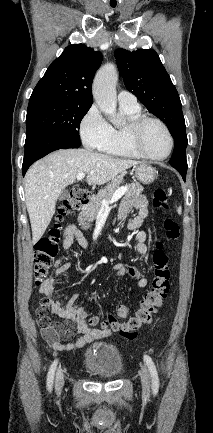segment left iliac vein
<instances>
[{
    "label": "left iliac vein",
    "instance_id": "left-iliac-vein-1",
    "mask_svg": "<svg viewBox=\"0 0 213 433\" xmlns=\"http://www.w3.org/2000/svg\"><path fill=\"white\" fill-rule=\"evenodd\" d=\"M140 377H141L143 394L145 396H148L150 392V374L146 366L141 367Z\"/></svg>",
    "mask_w": 213,
    "mask_h": 433
}]
</instances>
